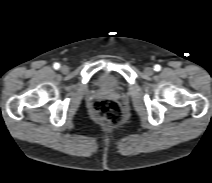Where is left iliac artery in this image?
<instances>
[{
	"label": "left iliac artery",
	"instance_id": "obj_1",
	"mask_svg": "<svg viewBox=\"0 0 212 183\" xmlns=\"http://www.w3.org/2000/svg\"><path fill=\"white\" fill-rule=\"evenodd\" d=\"M154 70H155V71H160V70H161V66L158 65V64L155 65V66H154Z\"/></svg>",
	"mask_w": 212,
	"mask_h": 183
}]
</instances>
